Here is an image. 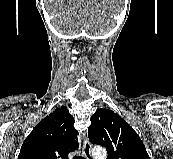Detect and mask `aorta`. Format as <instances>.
Returning <instances> with one entry per match:
<instances>
[{
    "label": "aorta",
    "instance_id": "762f6f07",
    "mask_svg": "<svg viewBox=\"0 0 173 159\" xmlns=\"http://www.w3.org/2000/svg\"><path fill=\"white\" fill-rule=\"evenodd\" d=\"M92 154L95 159L106 158V150L103 147H95L92 151Z\"/></svg>",
    "mask_w": 173,
    "mask_h": 159
}]
</instances>
